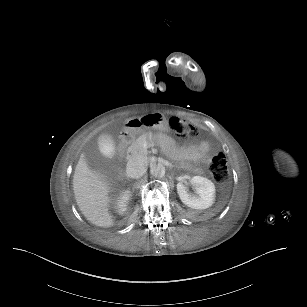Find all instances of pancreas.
I'll use <instances>...</instances> for the list:
<instances>
[{"instance_id": "cf45deb5", "label": "pancreas", "mask_w": 307, "mask_h": 307, "mask_svg": "<svg viewBox=\"0 0 307 307\" xmlns=\"http://www.w3.org/2000/svg\"><path fill=\"white\" fill-rule=\"evenodd\" d=\"M147 142V136L146 134H143L139 136L135 142L132 144V149H131V154L136 155V154H142L146 155L147 150L144 149V144Z\"/></svg>"}]
</instances>
